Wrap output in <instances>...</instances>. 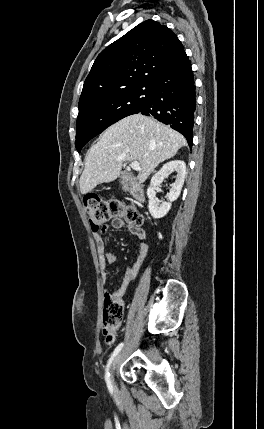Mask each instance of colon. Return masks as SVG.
<instances>
[{"mask_svg": "<svg viewBox=\"0 0 264 429\" xmlns=\"http://www.w3.org/2000/svg\"><path fill=\"white\" fill-rule=\"evenodd\" d=\"M84 206L94 234L103 233L106 223L114 216L122 217L135 228H140L143 223L142 215L134 206L117 198L105 200L98 195H90L85 198ZM123 312L122 298L116 294H106L102 327L108 344H112L115 340V333L122 323Z\"/></svg>", "mask_w": 264, "mask_h": 429, "instance_id": "1", "label": "colon"}]
</instances>
